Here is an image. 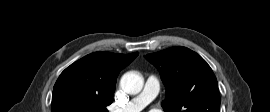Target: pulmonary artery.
<instances>
[{
	"label": "pulmonary artery",
	"instance_id": "1",
	"mask_svg": "<svg viewBox=\"0 0 270 112\" xmlns=\"http://www.w3.org/2000/svg\"><path fill=\"white\" fill-rule=\"evenodd\" d=\"M159 92V81L155 76H149L145 82L142 92L131 99L125 106L116 108L112 112H140Z\"/></svg>",
	"mask_w": 270,
	"mask_h": 112
}]
</instances>
